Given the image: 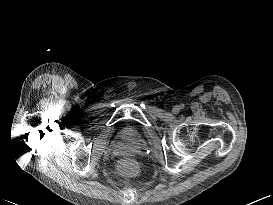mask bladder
I'll return each instance as SVG.
<instances>
[{"mask_svg":"<svg viewBox=\"0 0 273 205\" xmlns=\"http://www.w3.org/2000/svg\"><path fill=\"white\" fill-rule=\"evenodd\" d=\"M123 136L128 138V139H132L133 138V133L131 131H124Z\"/></svg>","mask_w":273,"mask_h":205,"instance_id":"bladder-1","label":"bladder"}]
</instances>
